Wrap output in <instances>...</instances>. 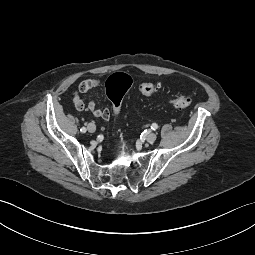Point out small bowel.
I'll return each mask as SVG.
<instances>
[{"mask_svg":"<svg viewBox=\"0 0 255 255\" xmlns=\"http://www.w3.org/2000/svg\"><path fill=\"white\" fill-rule=\"evenodd\" d=\"M100 84L101 82L98 79L93 78L85 79L79 84L78 90L74 93L73 97V103L77 110L83 111L86 108L80 94L87 93L92 89L99 87ZM87 108L95 117H101L105 120H109L111 117V111L108 108H99L93 101L88 104Z\"/></svg>","mask_w":255,"mask_h":255,"instance_id":"obj_1","label":"small bowel"}]
</instances>
